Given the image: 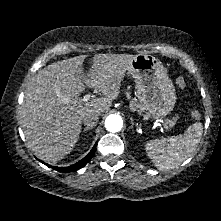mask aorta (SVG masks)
<instances>
[{"mask_svg": "<svg viewBox=\"0 0 221 221\" xmlns=\"http://www.w3.org/2000/svg\"><path fill=\"white\" fill-rule=\"evenodd\" d=\"M123 121L119 115H109L105 120V127L109 132L116 133L122 129Z\"/></svg>", "mask_w": 221, "mask_h": 221, "instance_id": "762f6f07", "label": "aorta"}]
</instances>
